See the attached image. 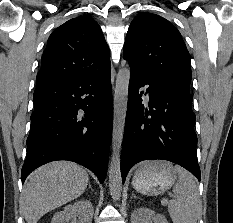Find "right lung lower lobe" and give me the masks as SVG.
<instances>
[{"mask_svg": "<svg viewBox=\"0 0 233 223\" xmlns=\"http://www.w3.org/2000/svg\"><path fill=\"white\" fill-rule=\"evenodd\" d=\"M22 183L37 167L69 160L103 183L112 134L110 67L94 75L36 87Z\"/></svg>", "mask_w": 233, "mask_h": 223, "instance_id": "98d812e1", "label": "right lung lower lobe"}]
</instances>
